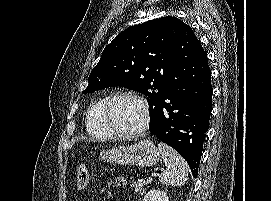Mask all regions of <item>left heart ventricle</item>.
<instances>
[{"mask_svg": "<svg viewBox=\"0 0 271 201\" xmlns=\"http://www.w3.org/2000/svg\"><path fill=\"white\" fill-rule=\"evenodd\" d=\"M110 113L113 123L122 131L137 129L144 118L140 103L128 96L117 98L111 106Z\"/></svg>", "mask_w": 271, "mask_h": 201, "instance_id": "1", "label": "left heart ventricle"}]
</instances>
